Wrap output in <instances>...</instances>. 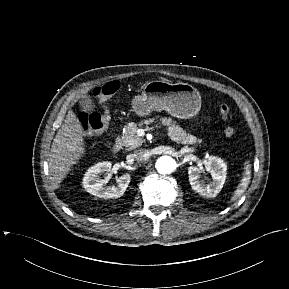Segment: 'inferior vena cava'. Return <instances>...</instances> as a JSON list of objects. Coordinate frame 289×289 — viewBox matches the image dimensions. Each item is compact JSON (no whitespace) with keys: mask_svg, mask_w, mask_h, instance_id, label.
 Instances as JSON below:
<instances>
[{"mask_svg":"<svg viewBox=\"0 0 289 289\" xmlns=\"http://www.w3.org/2000/svg\"><path fill=\"white\" fill-rule=\"evenodd\" d=\"M127 158H134L138 162H143L149 159V153L144 149L134 151L133 154L127 156Z\"/></svg>","mask_w":289,"mask_h":289,"instance_id":"obj_1","label":"inferior vena cava"}]
</instances>
